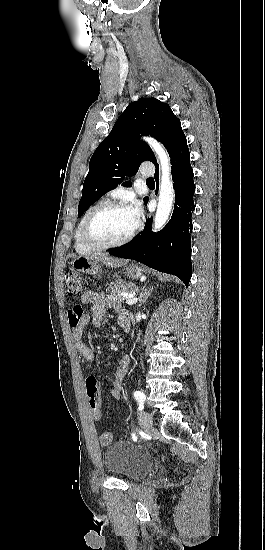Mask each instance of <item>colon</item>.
<instances>
[{
    "instance_id": "colon-1",
    "label": "colon",
    "mask_w": 265,
    "mask_h": 550,
    "mask_svg": "<svg viewBox=\"0 0 265 550\" xmlns=\"http://www.w3.org/2000/svg\"><path fill=\"white\" fill-rule=\"evenodd\" d=\"M66 293L70 297H75L82 293L86 288V280L79 273L75 271H67L64 275ZM69 322L71 326L76 324V320L72 318V312L69 316ZM85 389L88 398V405L90 413L94 419H100L102 417L101 410V395L99 384L94 377H88L85 381ZM112 442V435L110 432L105 431L100 436V443L103 446H108Z\"/></svg>"
}]
</instances>
